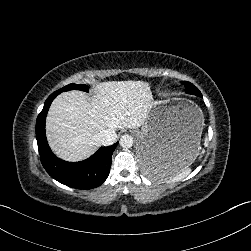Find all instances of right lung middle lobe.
<instances>
[{
  "instance_id": "obj_1",
  "label": "right lung middle lobe",
  "mask_w": 251,
  "mask_h": 251,
  "mask_svg": "<svg viewBox=\"0 0 251 251\" xmlns=\"http://www.w3.org/2000/svg\"><path fill=\"white\" fill-rule=\"evenodd\" d=\"M69 90H81V91L88 92L89 89H88V86L85 84H69V85L59 89L56 92L58 94H60L61 92L69 91Z\"/></svg>"
}]
</instances>
